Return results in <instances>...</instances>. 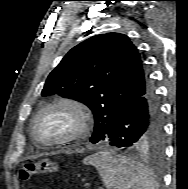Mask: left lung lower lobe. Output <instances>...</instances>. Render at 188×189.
Returning <instances> with one entry per match:
<instances>
[{
    "label": "left lung lower lobe",
    "instance_id": "0a47b994",
    "mask_svg": "<svg viewBox=\"0 0 188 189\" xmlns=\"http://www.w3.org/2000/svg\"><path fill=\"white\" fill-rule=\"evenodd\" d=\"M161 134L160 105L149 83L140 89L101 140L112 146L135 149L143 140L161 137Z\"/></svg>",
    "mask_w": 188,
    "mask_h": 189
}]
</instances>
